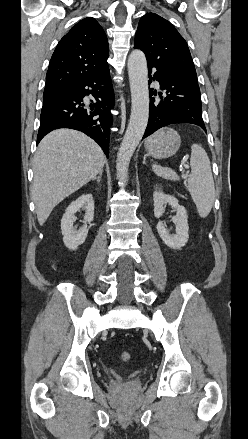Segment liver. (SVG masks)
I'll list each match as a JSON object with an SVG mask.
<instances>
[{
    "label": "liver",
    "instance_id": "1",
    "mask_svg": "<svg viewBox=\"0 0 248 439\" xmlns=\"http://www.w3.org/2000/svg\"><path fill=\"white\" fill-rule=\"evenodd\" d=\"M105 155L84 133L58 129L39 143L33 160L32 198L42 226L52 210L102 171Z\"/></svg>",
    "mask_w": 248,
    "mask_h": 439
}]
</instances>
